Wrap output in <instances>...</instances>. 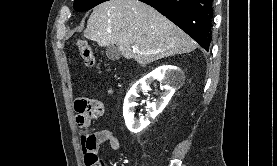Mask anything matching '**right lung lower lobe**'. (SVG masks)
Returning a JSON list of instances; mask_svg holds the SVG:
<instances>
[{"label": "right lung lower lobe", "instance_id": "obj_1", "mask_svg": "<svg viewBox=\"0 0 277 166\" xmlns=\"http://www.w3.org/2000/svg\"><path fill=\"white\" fill-rule=\"evenodd\" d=\"M144 2L197 41L206 51L212 37L213 0H139Z\"/></svg>", "mask_w": 277, "mask_h": 166}]
</instances>
